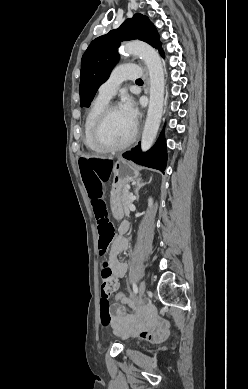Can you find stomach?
<instances>
[{
  "label": "stomach",
  "instance_id": "1",
  "mask_svg": "<svg viewBox=\"0 0 248 389\" xmlns=\"http://www.w3.org/2000/svg\"><path fill=\"white\" fill-rule=\"evenodd\" d=\"M114 178L113 188L111 191L110 203L115 220L123 219L122 209V192L126 189V185L131 181L137 180L140 176L139 170L132 163L118 159L112 166Z\"/></svg>",
  "mask_w": 248,
  "mask_h": 389
}]
</instances>
